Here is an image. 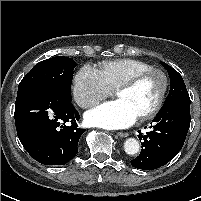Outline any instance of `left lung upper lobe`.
<instances>
[{"label": "left lung upper lobe", "mask_w": 201, "mask_h": 201, "mask_svg": "<svg viewBox=\"0 0 201 201\" xmlns=\"http://www.w3.org/2000/svg\"><path fill=\"white\" fill-rule=\"evenodd\" d=\"M163 67L168 71L170 77V91L164 104L178 99H189L182 76L168 64L162 62Z\"/></svg>", "instance_id": "1"}]
</instances>
